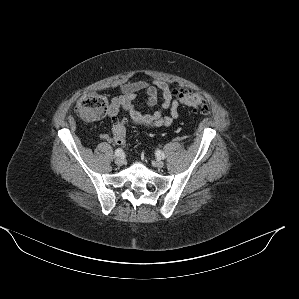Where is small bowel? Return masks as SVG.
I'll return each instance as SVG.
<instances>
[{
  "mask_svg": "<svg viewBox=\"0 0 299 299\" xmlns=\"http://www.w3.org/2000/svg\"><path fill=\"white\" fill-rule=\"evenodd\" d=\"M121 94L111 99L107 116L115 118L122 109L127 112L130 121L137 126L145 128L169 127L180 118V104L178 91L162 80H137L124 83L120 87ZM145 92L147 100L145 103H136L139 93ZM159 94L162 97L160 108L151 114H144L141 109L144 106L153 107L158 104ZM168 112V114H165ZM101 138L105 141H114L122 144L114 136L104 133Z\"/></svg>",
  "mask_w": 299,
  "mask_h": 299,
  "instance_id": "small-bowel-1",
  "label": "small bowel"
}]
</instances>
